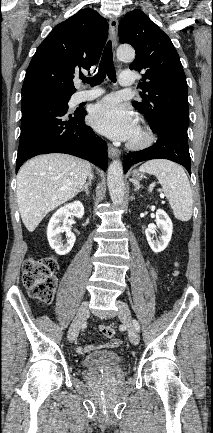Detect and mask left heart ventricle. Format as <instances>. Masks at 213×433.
Returning a JSON list of instances; mask_svg holds the SVG:
<instances>
[{
    "label": "left heart ventricle",
    "instance_id": "obj_1",
    "mask_svg": "<svg viewBox=\"0 0 213 433\" xmlns=\"http://www.w3.org/2000/svg\"><path fill=\"white\" fill-rule=\"evenodd\" d=\"M138 137H139V133H138V131H137V129H136V131H135V133H134V135L132 136L131 139H136V138H138Z\"/></svg>",
    "mask_w": 213,
    "mask_h": 433
}]
</instances>
